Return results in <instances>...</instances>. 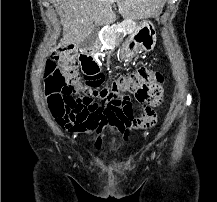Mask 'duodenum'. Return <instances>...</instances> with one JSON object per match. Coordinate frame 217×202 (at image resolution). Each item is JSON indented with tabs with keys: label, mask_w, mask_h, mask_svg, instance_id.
<instances>
[{
	"label": "duodenum",
	"mask_w": 217,
	"mask_h": 202,
	"mask_svg": "<svg viewBox=\"0 0 217 202\" xmlns=\"http://www.w3.org/2000/svg\"><path fill=\"white\" fill-rule=\"evenodd\" d=\"M95 53L96 49L91 48L82 53L80 56L82 69L85 72V74L90 76H94L99 72V66L94 58Z\"/></svg>",
	"instance_id": "obj_1"
}]
</instances>
